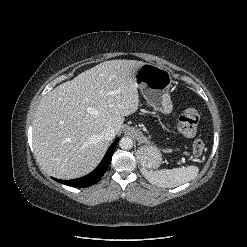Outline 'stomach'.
<instances>
[{
	"label": "stomach",
	"mask_w": 247,
	"mask_h": 247,
	"mask_svg": "<svg viewBox=\"0 0 247 247\" xmlns=\"http://www.w3.org/2000/svg\"><path fill=\"white\" fill-rule=\"evenodd\" d=\"M134 78L147 103L155 111L164 114L172 112L173 105L169 94L172 77L167 69L155 64L144 63L136 70ZM125 131L133 134L141 145L137 151L141 165L148 170L157 169L162 163L160 149L151 145L140 129L126 126Z\"/></svg>",
	"instance_id": "0dacf381"
}]
</instances>
